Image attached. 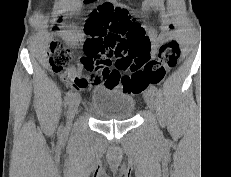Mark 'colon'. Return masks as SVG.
I'll list each match as a JSON object with an SVG mask.
<instances>
[{"label": "colon", "mask_w": 231, "mask_h": 177, "mask_svg": "<svg viewBox=\"0 0 231 177\" xmlns=\"http://www.w3.org/2000/svg\"><path fill=\"white\" fill-rule=\"evenodd\" d=\"M95 0H83L90 4ZM88 38L85 56L103 69V74L126 92L137 94L150 84H160L168 71L176 66L180 50L176 41L160 46L157 56H150V40L139 24L131 21L126 10L103 3L96 7L84 26ZM115 59V69L110 70ZM71 50L58 39L49 47V64L54 72L67 70ZM120 71L128 72L121 75Z\"/></svg>", "instance_id": "5ec220e1"}]
</instances>
